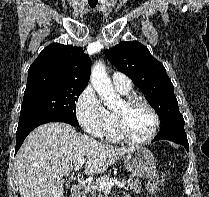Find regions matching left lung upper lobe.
I'll return each instance as SVG.
<instances>
[{
	"label": "left lung upper lobe",
	"instance_id": "obj_1",
	"mask_svg": "<svg viewBox=\"0 0 209 197\" xmlns=\"http://www.w3.org/2000/svg\"><path fill=\"white\" fill-rule=\"evenodd\" d=\"M105 54L147 96L149 104L159 115L160 131L173 126H184L173 84L163 64L150 54L147 47L137 41H122L105 50Z\"/></svg>",
	"mask_w": 209,
	"mask_h": 197
}]
</instances>
